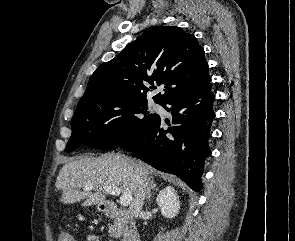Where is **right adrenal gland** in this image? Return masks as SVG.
<instances>
[{"mask_svg":"<svg viewBox=\"0 0 295 241\" xmlns=\"http://www.w3.org/2000/svg\"><path fill=\"white\" fill-rule=\"evenodd\" d=\"M156 183L153 180V176H149L147 179L146 201H150L151 191L157 189Z\"/></svg>","mask_w":295,"mask_h":241,"instance_id":"obj_1","label":"right adrenal gland"}]
</instances>
